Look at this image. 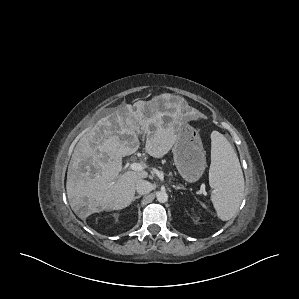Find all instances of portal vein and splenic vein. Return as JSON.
<instances>
[{"label": "portal vein and splenic vein", "mask_w": 299, "mask_h": 299, "mask_svg": "<svg viewBox=\"0 0 299 299\" xmlns=\"http://www.w3.org/2000/svg\"><path fill=\"white\" fill-rule=\"evenodd\" d=\"M129 168L134 171H143L144 166L141 163L134 162L129 165Z\"/></svg>", "instance_id": "portal-vein-and-splenic-vein-1"}]
</instances>
